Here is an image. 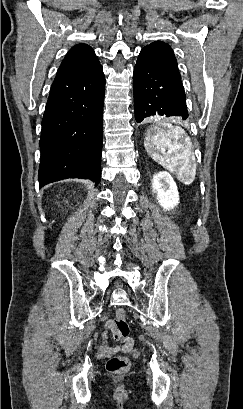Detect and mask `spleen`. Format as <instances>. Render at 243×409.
I'll return each mask as SVG.
<instances>
[{
    "instance_id": "1",
    "label": "spleen",
    "mask_w": 243,
    "mask_h": 409,
    "mask_svg": "<svg viewBox=\"0 0 243 409\" xmlns=\"http://www.w3.org/2000/svg\"><path fill=\"white\" fill-rule=\"evenodd\" d=\"M147 153L177 179L191 184L196 175L192 143L184 129L168 122H158L151 126L145 137Z\"/></svg>"
}]
</instances>
